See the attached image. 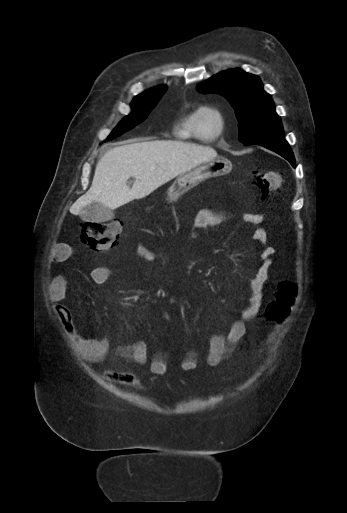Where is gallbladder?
<instances>
[{
  "instance_id": "bac80fb5",
  "label": "gallbladder",
  "mask_w": 347,
  "mask_h": 513,
  "mask_svg": "<svg viewBox=\"0 0 347 513\" xmlns=\"http://www.w3.org/2000/svg\"><path fill=\"white\" fill-rule=\"evenodd\" d=\"M80 218L86 222H104L114 217L113 211L101 203L93 202L84 207L79 213Z\"/></svg>"
}]
</instances>
